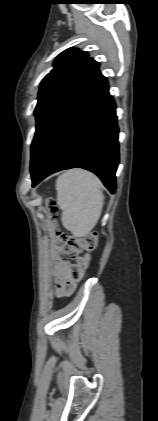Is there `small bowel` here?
I'll return each mask as SVG.
<instances>
[{
	"label": "small bowel",
	"mask_w": 158,
	"mask_h": 421,
	"mask_svg": "<svg viewBox=\"0 0 158 421\" xmlns=\"http://www.w3.org/2000/svg\"><path fill=\"white\" fill-rule=\"evenodd\" d=\"M69 267H70L69 263L59 260V259H55L54 273H55L56 282H57L56 293L58 296H61L66 292L65 285L68 279Z\"/></svg>",
	"instance_id": "small-bowel-1"
}]
</instances>
